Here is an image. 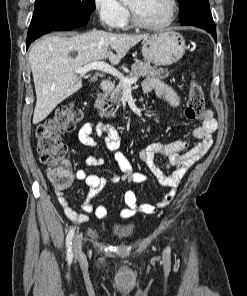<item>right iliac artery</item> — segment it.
Listing matches in <instances>:
<instances>
[{
	"instance_id": "obj_1",
	"label": "right iliac artery",
	"mask_w": 247,
	"mask_h": 296,
	"mask_svg": "<svg viewBox=\"0 0 247 296\" xmlns=\"http://www.w3.org/2000/svg\"><path fill=\"white\" fill-rule=\"evenodd\" d=\"M74 236V228H72L66 237V248H67V258L68 260H72L73 251H72V239Z\"/></svg>"
}]
</instances>
